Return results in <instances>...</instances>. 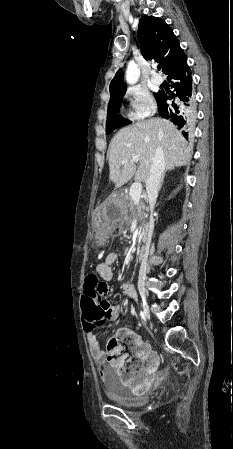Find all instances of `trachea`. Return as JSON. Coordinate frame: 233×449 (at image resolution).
I'll return each instance as SVG.
<instances>
[{
	"instance_id": "3493384b",
	"label": "trachea",
	"mask_w": 233,
	"mask_h": 449,
	"mask_svg": "<svg viewBox=\"0 0 233 449\" xmlns=\"http://www.w3.org/2000/svg\"><path fill=\"white\" fill-rule=\"evenodd\" d=\"M157 68L160 70V69L162 68V66L159 64V65L157 66Z\"/></svg>"
}]
</instances>
